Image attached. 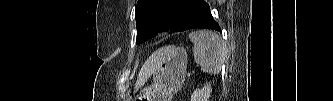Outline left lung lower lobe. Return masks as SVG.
<instances>
[{
	"label": "left lung lower lobe",
	"mask_w": 333,
	"mask_h": 101,
	"mask_svg": "<svg viewBox=\"0 0 333 101\" xmlns=\"http://www.w3.org/2000/svg\"><path fill=\"white\" fill-rule=\"evenodd\" d=\"M184 10V16L179 21L178 31L194 28L213 29L221 32L219 24L213 19L209 5L204 0H178Z\"/></svg>",
	"instance_id": "0a47b994"
}]
</instances>
